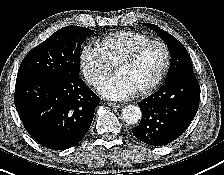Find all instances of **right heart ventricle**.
<instances>
[{"label": "right heart ventricle", "instance_id": "obj_1", "mask_svg": "<svg viewBox=\"0 0 224 175\" xmlns=\"http://www.w3.org/2000/svg\"><path fill=\"white\" fill-rule=\"evenodd\" d=\"M151 40L143 33L135 31H121L104 37L99 44L107 59L115 65L121 58L130 53L140 44Z\"/></svg>", "mask_w": 224, "mask_h": 175}]
</instances>
